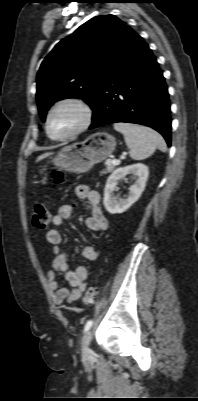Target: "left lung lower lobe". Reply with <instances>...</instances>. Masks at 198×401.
<instances>
[{
	"mask_svg": "<svg viewBox=\"0 0 198 401\" xmlns=\"http://www.w3.org/2000/svg\"><path fill=\"white\" fill-rule=\"evenodd\" d=\"M92 110L89 129L137 123L155 129L171 145L167 86L156 58L139 35L106 79Z\"/></svg>",
	"mask_w": 198,
	"mask_h": 401,
	"instance_id": "left-lung-lower-lobe-1",
	"label": "left lung lower lobe"
}]
</instances>
